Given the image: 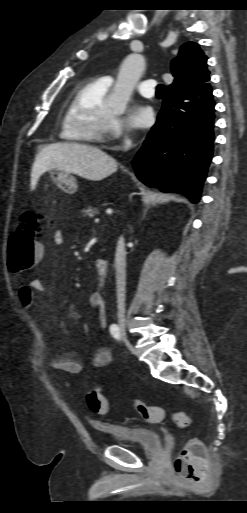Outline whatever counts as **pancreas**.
I'll list each match as a JSON object with an SVG mask.
<instances>
[{
    "label": "pancreas",
    "mask_w": 247,
    "mask_h": 513,
    "mask_svg": "<svg viewBox=\"0 0 247 513\" xmlns=\"http://www.w3.org/2000/svg\"><path fill=\"white\" fill-rule=\"evenodd\" d=\"M98 209L97 208H94L92 206H88L87 208L83 209L81 211V214L83 217L85 218H92L93 216H95L96 214H98Z\"/></svg>",
    "instance_id": "cf45deb5"
}]
</instances>
